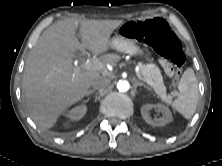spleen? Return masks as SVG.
<instances>
[{"label":"spleen","instance_id":"1","mask_svg":"<svg viewBox=\"0 0 222 166\" xmlns=\"http://www.w3.org/2000/svg\"><path fill=\"white\" fill-rule=\"evenodd\" d=\"M180 95L171 103L173 109L185 119H190L197 107L199 90L198 82L192 68H187L178 84Z\"/></svg>","mask_w":222,"mask_h":166}]
</instances>
